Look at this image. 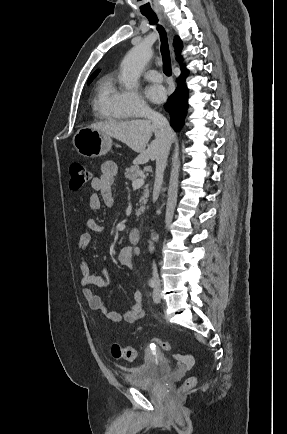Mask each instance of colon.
Segmentation results:
<instances>
[{
  "instance_id": "5ec220e1",
  "label": "colon",
  "mask_w": 287,
  "mask_h": 434,
  "mask_svg": "<svg viewBox=\"0 0 287 434\" xmlns=\"http://www.w3.org/2000/svg\"><path fill=\"white\" fill-rule=\"evenodd\" d=\"M70 182L69 187L72 190H78L82 186H84L88 181L91 179V172L90 170L80 163H73L70 166ZM152 343L155 347L160 348L164 351H171L172 346L170 343L160 340V339H153ZM112 355L117 359H124L127 361H134L136 359L137 353L136 350L132 347L122 346L118 343H115L112 345ZM179 358L188 360L189 356L187 354L186 350H182L178 355ZM196 378L195 377H189L184 382L183 386L178 390L177 396H180L183 392L186 390H189L193 388L196 385Z\"/></svg>"
}]
</instances>
